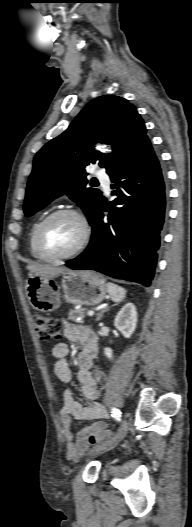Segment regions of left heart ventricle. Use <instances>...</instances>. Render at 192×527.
Returning a JSON list of instances; mask_svg holds the SVG:
<instances>
[{"label": "left heart ventricle", "instance_id": "obj_1", "mask_svg": "<svg viewBox=\"0 0 192 527\" xmlns=\"http://www.w3.org/2000/svg\"><path fill=\"white\" fill-rule=\"evenodd\" d=\"M82 234L80 222L71 215L54 218L42 233L44 250L51 255H62L73 250Z\"/></svg>", "mask_w": 192, "mask_h": 527}]
</instances>
